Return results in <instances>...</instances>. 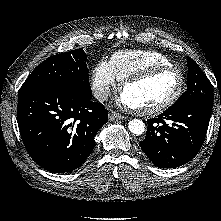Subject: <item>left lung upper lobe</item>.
<instances>
[{
	"mask_svg": "<svg viewBox=\"0 0 221 221\" xmlns=\"http://www.w3.org/2000/svg\"><path fill=\"white\" fill-rule=\"evenodd\" d=\"M187 64V91L182 94L171 108L180 107L191 101L213 102V88L209 79L201 71L197 63L190 57H187Z\"/></svg>",
	"mask_w": 221,
	"mask_h": 221,
	"instance_id": "1",
	"label": "left lung upper lobe"
}]
</instances>
